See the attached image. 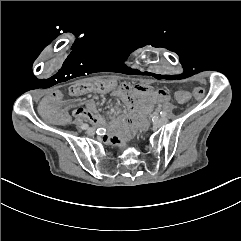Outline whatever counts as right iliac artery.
<instances>
[{
    "instance_id": "obj_1",
    "label": "right iliac artery",
    "mask_w": 241,
    "mask_h": 241,
    "mask_svg": "<svg viewBox=\"0 0 241 241\" xmlns=\"http://www.w3.org/2000/svg\"><path fill=\"white\" fill-rule=\"evenodd\" d=\"M88 127H89L88 124H83V125L81 126L82 129H87Z\"/></svg>"
}]
</instances>
